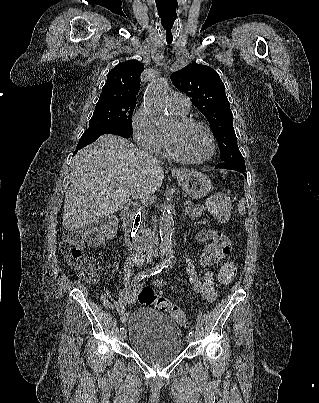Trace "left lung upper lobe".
Masks as SVG:
<instances>
[{
  "label": "left lung upper lobe",
  "mask_w": 319,
  "mask_h": 403,
  "mask_svg": "<svg viewBox=\"0 0 319 403\" xmlns=\"http://www.w3.org/2000/svg\"><path fill=\"white\" fill-rule=\"evenodd\" d=\"M174 86L186 93L205 115L216 136L223 162L245 164L233 128V114L219 74L206 65L192 64L173 73Z\"/></svg>",
  "instance_id": "5c2ea615"
}]
</instances>
